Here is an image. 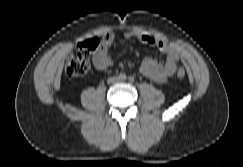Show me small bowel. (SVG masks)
<instances>
[{"instance_id":"c3829d8e","label":"small bowel","mask_w":243,"mask_h":167,"mask_svg":"<svg viewBox=\"0 0 243 167\" xmlns=\"http://www.w3.org/2000/svg\"><path fill=\"white\" fill-rule=\"evenodd\" d=\"M132 35L133 33L130 32L124 34L114 32L105 33L102 37V43L94 56L95 67L101 71L108 69L112 64V60L108 55V49L111 46H116L118 40L122 37L129 38ZM134 35L140 41L157 47L166 56L164 63L153 58H146L141 64V73L157 83H166L177 70L179 55L176 49L161 39L147 33L137 32Z\"/></svg>"}]
</instances>
